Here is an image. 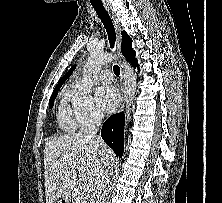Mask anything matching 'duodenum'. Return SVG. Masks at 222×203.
<instances>
[{
	"label": "duodenum",
	"mask_w": 222,
	"mask_h": 203,
	"mask_svg": "<svg viewBox=\"0 0 222 203\" xmlns=\"http://www.w3.org/2000/svg\"><path fill=\"white\" fill-rule=\"evenodd\" d=\"M76 196H77V191H76V190H72V191L70 192V197H71V199L76 198Z\"/></svg>",
	"instance_id": "1"
}]
</instances>
